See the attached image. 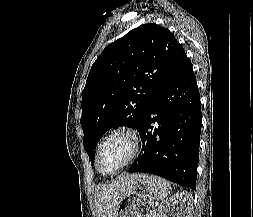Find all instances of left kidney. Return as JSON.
<instances>
[{
  "mask_svg": "<svg viewBox=\"0 0 253 217\" xmlns=\"http://www.w3.org/2000/svg\"><path fill=\"white\" fill-rule=\"evenodd\" d=\"M192 204V196L188 192H178L166 200L159 210V217H168L171 211H178L179 217H189L186 214Z\"/></svg>",
  "mask_w": 253,
  "mask_h": 217,
  "instance_id": "5707ae66",
  "label": "left kidney"
}]
</instances>
